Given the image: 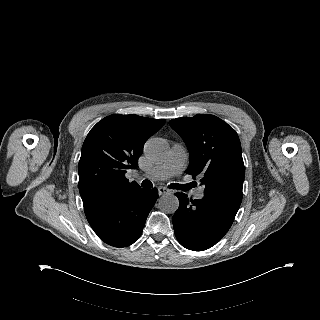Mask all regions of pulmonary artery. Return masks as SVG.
<instances>
[{
    "mask_svg": "<svg viewBox=\"0 0 320 320\" xmlns=\"http://www.w3.org/2000/svg\"><path fill=\"white\" fill-rule=\"evenodd\" d=\"M186 160V149L180 144H175L166 160L145 172L143 176L151 180L167 179L171 176L179 174L184 168ZM194 196L197 199H202L204 197L203 190L197 189L194 193Z\"/></svg>",
    "mask_w": 320,
    "mask_h": 320,
    "instance_id": "pulmonary-artery-1",
    "label": "pulmonary artery"
}]
</instances>
